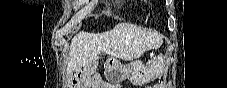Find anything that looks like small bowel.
Here are the masks:
<instances>
[{
	"label": "small bowel",
	"instance_id": "small-bowel-1",
	"mask_svg": "<svg viewBox=\"0 0 227 88\" xmlns=\"http://www.w3.org/2000/svg\"><path fill=\"white\" fill-rule=\"evenodd\" d=\"M100 87L101 88H113V87H120V86H113V85H110L108 83H101Z\"/></svg>",
	"mask_w": 227,
	"mask_h": 88
}]
</instances>
